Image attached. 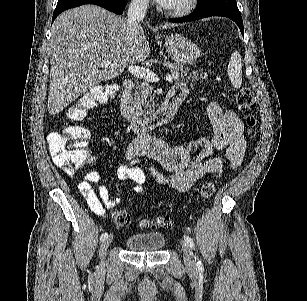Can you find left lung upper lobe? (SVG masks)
<instances>
[{"label": "left lung upper lobe", "mask_w": 307, "mask_h": 301, "mask_svg": "<svg viewBox=\"0 0 307 301\" xmlns=\"http://www.w3.org/2000/svg\"><path fill=\"white\" fill-rule=\"evenodd\" d=\"M199 5L195 11L220 9L239 12L235 0H198Z\"/></svg>", "instance_id": "obj_1"}]
</instances>
